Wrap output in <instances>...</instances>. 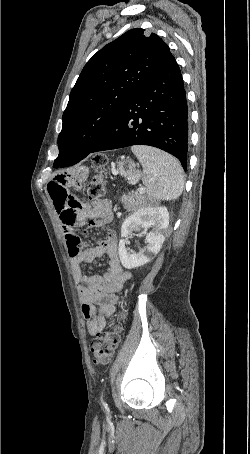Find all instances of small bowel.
Returning a JSON list of instances; mask_svg holds the SVG:
<instances>
[{
    "mask_svg": "<svg viewBox=\"0 0 250 454\" xmlns=\"http://www.w3.org/2000/svg\"><path fill=\"white\" fill-rule=\"evenodd\" d=\"M83 185L82 176H57L48 184V192L53 206L59 216L71 258L73 276L79 284V295L82 301V313L86 320L89 333L102 331L115 307L109 296L118 293L130 274L122 267L118 240L112 230L96 247L87 248L78 236L77 228L89 221L91 227H103L112 218V204L103 199L91 204L77 199L73 190H80ZM106 255L109 268L103 276L88 277L84 274L81 264L91 263Z\"/></svg>",
    "mask_w": 250,
    "mask_h": 454,
    "instance_id": "small-bowel-1",
    "label": "small bowel"
}]
</instances>
